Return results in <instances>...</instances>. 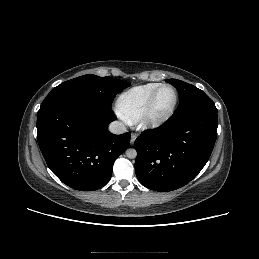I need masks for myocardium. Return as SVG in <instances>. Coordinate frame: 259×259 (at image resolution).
Listing matches in <instances>:
<instances>
[{"label": "myocardium", "mask_w": 259, "mask_h": 259, "mask_svg": "<svg viewBox=\"0 0 259 259\" xmlns=\"http://www.w3.org/2000/svg\"><path fill=\"white\" fill-rule=\"evenodd\" d=\"M164 88H170L174 93V100L171 107L164 113L156 114L154 111L155 101L159 92ZM178 92L176 88L170 84H161L151 95L147 106L139 118L140 126L143 129L153 130L164 125L174 114L178 104Z\"/></svg>", "instance_id": "myocardium-1"}]
</instances>
